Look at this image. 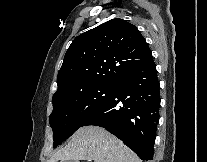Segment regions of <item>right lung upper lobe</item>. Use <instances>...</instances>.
Wrapping results in <instances>:
<instances>
[{"label": "right lung upper lobe", "instance_id": "cb5924a9", "mask_svg": "<svg viewBox=\"0 0 207 162\" xmlns=\"http://www.w3.org/2000/svg\"><path fill=\"white\" fill-rule=\"evenodd\" d=\"M151 58V50L136 26L120 18L109 20L71 43L58 73L53 99L113 84L123 73Z\"/></svg>", "mask_w": 207, "mask_h": 162}]
</instances>
